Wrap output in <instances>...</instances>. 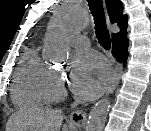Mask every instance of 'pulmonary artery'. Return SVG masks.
I'll return each mask as SVG.
<instances>
[{
	"label": "pulmonary artery",
	"instance_id": "pulmonary-artery-1",
	"mask_svg": "<svg viewBox=\"0 0 151 131\" xmlns=\"http://www.w3.org/2000/svg\"><path fill=\"white\" fill-rule=\"evenodd\" d=\"M73 45L76 47H87L88 46V39L83 36L76 37L73 40Z\"/></svg>",
	"mask_w": 151,
	"mask_h": 131
}]
</instances>
